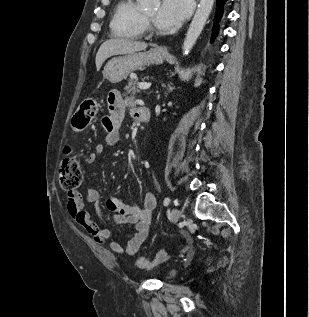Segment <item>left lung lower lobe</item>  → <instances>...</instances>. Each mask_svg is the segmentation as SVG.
Wrapping results in <instances>:
<instances>
[{
    "mask_svg": "<svg viewBox=\"0 0 309 317\" xmlns=\"http://www.w3.org/2000/svg\"><path fill=\"white\" fill-rule=\"evenodd\" d=\"M228 0H217V12L215 15V19H214V27H213V35L211 37V41L214 40L215 38V34L218 32L219 30V25L218 23L220 22L223 13H224V9H225V4Z\"/></svg>",
    "mask_w": 309,
    "mask_h": 317,
    "instance_id": "obj_1",
    "label": "left lung lower lobe"
}]
</instances>
